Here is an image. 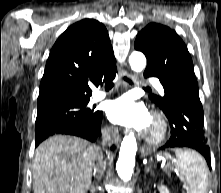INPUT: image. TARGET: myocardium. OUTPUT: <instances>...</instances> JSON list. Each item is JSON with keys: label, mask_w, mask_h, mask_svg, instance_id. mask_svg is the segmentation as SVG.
Masks as SVG:
<instances>
[{"label": "myocardium", "mask_w": 221, "mask_h": 193, "mask_svg": "<svg viewBox=\"0 0 221 193\" xmlns=\"http://www.w3.org/2000/svg\"><path fill=\"white\" fill-rule=\"evenodd\" d=\"M151 118H153L158 124V131L156 134H148L144 130L141 132V136L150 144H159L163 142L168 133V127L164 117L157 111L151 113Z\"/></svg>", "instance_id": "f54148a6"}]
</instances>
